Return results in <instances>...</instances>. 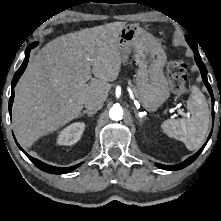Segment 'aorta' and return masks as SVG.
I'll return each mask as SVG.
<instances>
[{
	"mask_svg": "<svg viewBox=\"0 0 221 221\" xmlns=\"http://www.w3.org/2000/svg\"><path fill=\"white\" fill-rule=\"evenodd\" d=\"M109 117L114 121H119L123 117V109L120 105H114L109 110Z\"/></svg>",
	"mask_w": 221,
	"mask_h": 221,
	"instance_id": "762f6f07",
	"label": "aorta"
}]
</instances>
